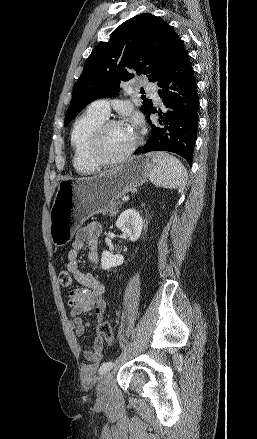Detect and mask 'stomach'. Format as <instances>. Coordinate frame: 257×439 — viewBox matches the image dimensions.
<instances>
[{
    "instance_id": "0dacf381",
    "label": "stomach",
    "mask_w": 257,
    "mask_h": 439,
    "mask_svg": "<svg viewBox=\"0 0 257 439\" xmlns=\"http://www.w3.org/2000/svg\"><path fill=\"white\" fill-rule=\"evenodd\" d=\"M154 166V154L149 153L133 156L97 176L62 180L50 210L52 242L58 246L68 243L87 218L145 183Z\"/></svg>"
}]
</instances>
